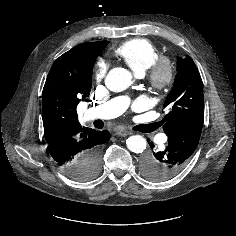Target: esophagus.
Instances as JSON below:
<instances>
[{
  "instance_id": "obj_1",
  "label": "esophagus",
  "mask_w": 236,
  "mask_h": 236,
  "mask_svg": "<svg viewBox=\"0 0 236 236\" xmlns=\"http://www.w3.org/2000/svg\"><path fill=\"white\" fill-rule=\"evenodd\" d=\"M130 134H131L130 131L124 130V129H119V130L116 131V135L122 136V137L128 136Z\"/></svg>"
}]
</instances>
